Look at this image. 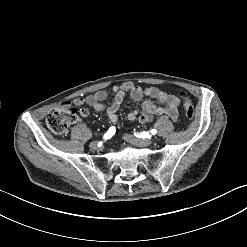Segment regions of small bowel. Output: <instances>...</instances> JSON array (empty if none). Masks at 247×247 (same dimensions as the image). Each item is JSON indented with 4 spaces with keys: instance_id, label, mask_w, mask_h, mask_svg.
Instances as JSON below:
<instances>
[{
    "instance_id": "small-bowel-1",
    "label": "small bowel",
    "mask_w": 247,
    "mask_h": 247,
    "mask_svg": "<svg viewBox=\"0 0 247 247\" xmlns=\"http://www.w3.org/2000/svg\"><path fill=\"white\" fill-rule=\"evenodd\" d=\"M113 93L114 100L109 106L105 103L108 96L107 92L104 90H99L87 96L77 97L71 102H64L62 107L68 108L71 105L77 107L88 105L93 107L98 112H105L109 121L112 124H115L118 121L117 111L128 94L134 102L141 101L145 96L155 101H145L142 104L141 114H139L138 111H132L128 114V119L135 120L138 118L143 124L151 122L154 116L161 114L168 115L173 121L178 119V106L180 100L170 91H164L155 87L143 89L135 83L127 81L115 85L113 87ZM79 113L81 117H87L89 115V110L86 108H81Z\"/></svg>"
}]
</instances>
